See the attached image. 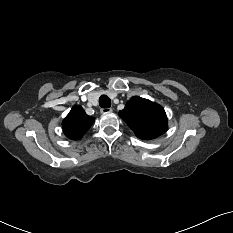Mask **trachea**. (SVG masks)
Returning <instances> with one entry per match:
<instances>
[{
  "mask_svg": "<svg viewBox=\"0 0 233 233\" xmlns=\"http://www.w3.org/2000/svg\"><path fill=\"white\" fill-rule=\"evenodd\" d=\"M99 105H100L101 108L107 109V108H109L111 106V100L109 99L108 96L102 95L99 98Z\"/></svg>",
  "mask_w": 233,
  "mask_h": 233,
  "instance_id": "3493384b",
  "label": "trachea"
}]
</instances>
